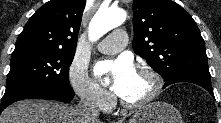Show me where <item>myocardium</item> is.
<instances>
[{"label":"myocardium","instance_id":"myocardium-1","mask_svg":"<svg viewBox=\"0 0 221 123\" xmlns=\"http://www.w3.org/2000/svg\"><path fill=\"white\" fill-rule=\"evenodd\" d=\"M138 72L150 77L153 82V87L146 98L136 103L127 102L119 96L118 99L121 106L128 110H139L148 106L160 95L163 87V80L161 75L153 68L148 66H141L138 68Z\"/></svg>","mask_w":221,"mask_h":123}]
</instances>
